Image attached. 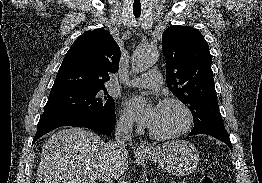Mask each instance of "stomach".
<instances>
[{
  "instance_id": "obj_1",
  "label": "stomach",
  "mask_w": 262,
  "mask_h": 183,
  "mask_svg": "<svg viewBox=\"0 0 262 183\" xmlns=\"http://www.w3.org/2000/svg\"><path fill=\"white\" fill-rule=\"evenodd\" d=\"M142 155L176 176L191 174L196 170L200 161L197 148L186 140L166 142L152 151L143 152Z\"/></svg>"
}]
</instances>
